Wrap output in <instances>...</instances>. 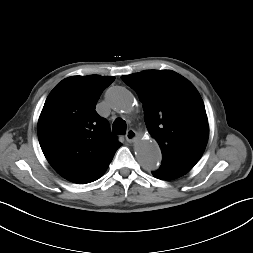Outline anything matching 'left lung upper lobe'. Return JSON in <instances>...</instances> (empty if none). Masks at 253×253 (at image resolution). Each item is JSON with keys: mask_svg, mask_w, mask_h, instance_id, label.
I'll list each match as a JSON object with an SVG mask.
<instances>
[{"mask_svg": "<svg viewBox=\"0 0 253 253\" xmlns=\"http://www.w3.org/2000/svg\"><path fill=\"white\" fill-rule=\"evenodd\" d=\"M121 78L143 103L145 123L161 148L162 163L193 167L209 135L205 106L194 85L171 70H145Z\"/></svg>", "mask_w": 253, "mask_h": 253, "instance_id": "obj_1", "label": "left lung upper lobe"}]
</instances>
